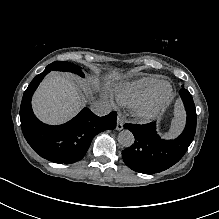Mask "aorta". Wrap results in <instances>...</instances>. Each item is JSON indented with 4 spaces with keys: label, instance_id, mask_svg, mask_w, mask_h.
<instances>
[{
    "label": "aorta",
    "instance_id": "762f6f07",
    "mask_svg": "<svg viewBox=\"0 0 219 219\" xmlns=\"http://www.w3.org/2000/svg\"><path fill=\"white\" fill-rule=\"evenodd\" d=\"M134 141H135V137L132 134V132L129 130H122L118 134V142L123 147L128 148V147L132 146L134 144Z\"/></svg>",
    "mask_w": 219,
    "mask_h": 219
}]
</instances>
